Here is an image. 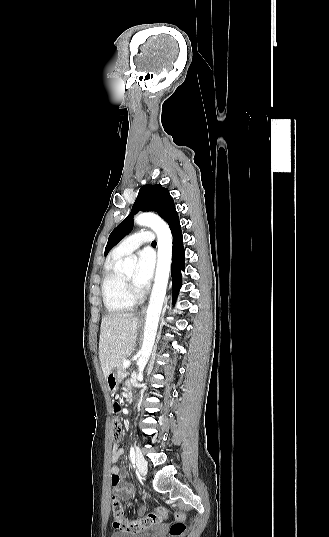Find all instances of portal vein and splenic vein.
<instances>
[{
  "mask_svg": "<svg viewBox=\"0 0 329 537\" xmlns=\"http://www.w3.org/2000/svg\"><path fill=\"white\" fill-rule=\"evenodd\" d=\"M129 366H130V361H125V362L123 363V368L126 369V368H128Z\"/></svg>",
  "mask_w": 329,
  "mask_h": 537,
  "instance_id": "1",
  "label": "portal vein and splenic vein"
}]
</instances>
